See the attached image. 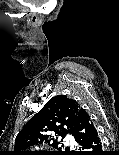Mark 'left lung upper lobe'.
<instances>
[{
  "instance_id": "5c2ea615",
  "label": "left lung upper lobe",
  "mask_w": 119,
  "mask_h": 155,
  "mask_svg": "<svg viewBox=\"0 0 119 155\" xmlns=\"http://www.w3.org/2000/svg\"><path fill=\"white\" fill-rule=\"evenodd\" d=\"M78 111L79 106L75 101L65 95L51 98L18 133L12 155H74L75 153L68 148L57 151H28V149L49 142L53 148L58 149L60 142L57 141V136L64 138L68 133L74 134ZM51 132L55 135H51Z\"/></svg>"
}]
</instances>
